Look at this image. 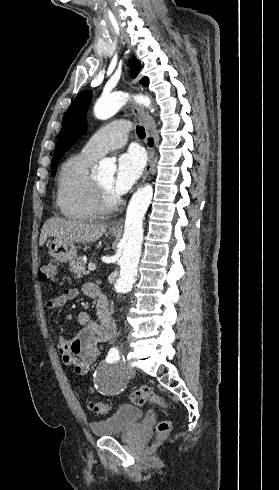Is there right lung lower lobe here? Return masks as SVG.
<instances>
[{"label": "right lung lower lobe", "mask_w": 279, "mask_h": 490, "mask_svg": "<svg viewBox=\"0 0 279 490\" xmlns=\"http://www.w3.org/2000/svg\"><path fill=\"white\" fill-rule=\"evenodd\" d=\"M149 145H152V140L151 139H149Z\"/></svg>", "instance_id": "98d812e1"}]
</instances>
